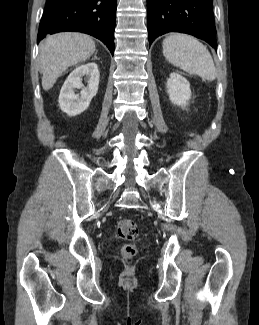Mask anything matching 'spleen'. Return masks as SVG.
Segmentation results:
<instances>
[{
    "label": "spleen",
    "instance_id": "1",
    "mask_svg": "<svg viewBox=\"0 0 259 325\" xmlns=\"http://www.w3.org/2000/svg\"><path fill=\"white\" fill-rule=\"evenodd\" d=\"M163 55L171 64L206 80L216 78L213 58L201 42L190 35L172 34L162 43Z\"/></svg>",
    "mask_w": 259,
    "mask_h": 325
}]
</instances>
